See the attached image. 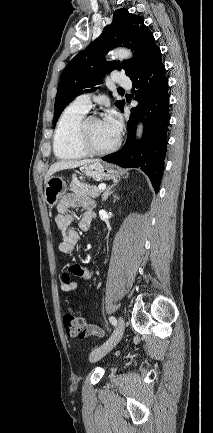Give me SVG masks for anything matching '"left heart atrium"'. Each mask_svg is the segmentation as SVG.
Instances as JSON below:
<instances>
[{"label":"left heart atrium","mask_w":213,"mask_h":433,"mask_svg":"<svg viewBox=\"0 0 213 433\" xmlns=\"http://www.w3.org/2000/svg\"><path fill=\"white\" fill-rule=\"evenodd\" d=\"M103 121L117 136L119 135L121 130V122L115 111H109Z\"/></svg>","instance_id":"left-heart-atrium-1"}]
</instances>
